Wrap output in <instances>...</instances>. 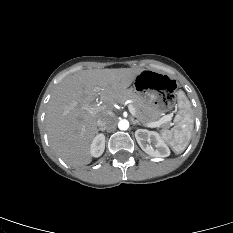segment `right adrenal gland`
<instances>
[{
	"mask_svg": "<svg viewBox=\"0 0 233 233\" xmlns=\"http://www.w3.org/2000/svg\"><path fill=\"white\" fill-rule=\"evenodd\" d=\"M105 129H106V127L99 128V129H98V131H102V132H104V131H105Z\"/></svg>",
	"mask_w": 233,
	"mask_h": 233,
	"instance_id": "obj_1",
	"label": "right adrenal gland"
}]
</instances>
